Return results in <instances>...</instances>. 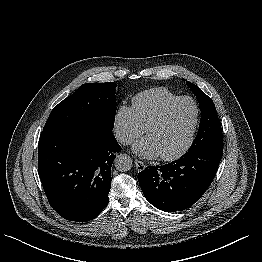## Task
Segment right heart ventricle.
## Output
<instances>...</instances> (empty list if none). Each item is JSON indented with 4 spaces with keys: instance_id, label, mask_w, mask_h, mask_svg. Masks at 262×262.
Masks as SVG:
<instances>
[{
    "instance_id": "obj_1",
    "label": "right heart ventricle",
    "mask_w": 262,
    "mask_h": 262,
    "mask_svg": "<svg viewBox=\"0 0 262 262\" xmlns=\"http://www.w3.org/2000/svg\"><path fill=\"white\" fill-rule=\"evenodd\" d=\"M180 97L165 87L145 90L132 98V110L141 124L146 129L148 124L171 101Z\"/></svg>"
}]
</instances>
